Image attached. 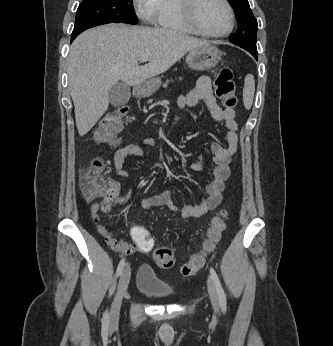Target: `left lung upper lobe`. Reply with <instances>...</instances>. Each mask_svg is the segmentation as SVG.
Masks as SVG:
<instances>
[{"label":"left lung upper lobe","instance_id":"obj_1","mask_svg":"<svg viewBox=\"0 0 333 346\" xmlns=\"http://www.w3.org/2000/svg\"><path fill=\"white\" fill-rule=\"evenodd\" d=\"M228 2L233 7L238 21L237 31L229 40L251 54L257 53V20L250 9L248 0H228Z\"/></svg>","mask_w":333,"mask_h":346}]
</instances>
